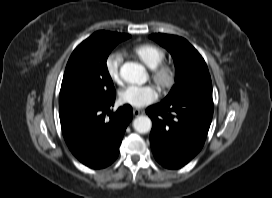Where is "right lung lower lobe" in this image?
<instances>
[{"mask_svg": "<svg viewBox=\"0 0 272 198\" xmlns=\"http://www.w3.org/2000/svg\"><path fill=\"white\" fill-rule=\"evenodd\" d=\"M115 97L103 103H83L59 109L64 139L73 155L90 168H104L118 154L132 107L111 112ZM108 116V117H107Z\"/></svg>", "mask_w": 272, "mask_h": 198, "instance_id": "1", "label": "right lung lower lobe"}]
</instances>
